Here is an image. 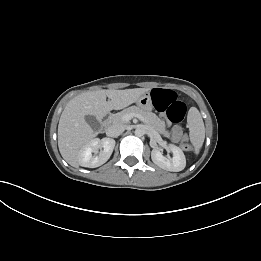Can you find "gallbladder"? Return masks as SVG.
I'll list each match as a JSON object with an SVG mask.
<instances>
[{
  "instance_id": "obj_1",
  "label": "gallbladder",
  "mask_w": 261,
  "mask_h": 261,
  "mask_svg": "<svg viewBox=\"0 0 261 261\" xmlns=\"http://www.w3.org/2000/svg\"><path fill=\"white\" fill-rule=\"evenodd\" d=\"M87 123L91 126V128L95 131H98L100 129V122L97 120L94 116H86Z\"/></svg>"
}]
</instances>
